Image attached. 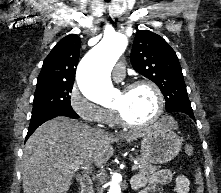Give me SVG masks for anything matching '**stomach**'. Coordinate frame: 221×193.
<instances>
[{
	"instance_id": "1",
	"label": "stomach",
	"mask_w": 221,
	"mask_h": 193,
	"mask_svg": "<svg viewBox=\"0 0 221 193\" xmlns=\"http://www.w3.org/2000/svg\"><path fill=\"white\" fill-rule=\"evenodd\" d=\"M182 140L160 122L153 125L141 140V156L147 162L164 164L175 158L181 150Z\"/></svg>"
}]
</instances>
